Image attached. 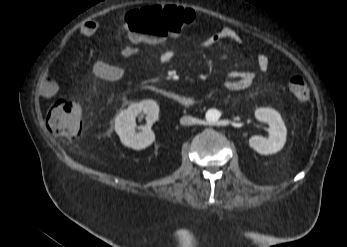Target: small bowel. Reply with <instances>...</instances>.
I'll list each match as a JSON object with an SVG mask.
<instances>
[{"mask_svg":"<svg viewBox=\"0 0 347 247\" xmlns=\"http://www.w3.org/2000/svg\"><path fill=\"white\" fill-rule=\"evenodd\" d=\"M99 28V23L95 19L85 21L77 30L84 37L92 36ZM177 37L178 34L173 35ZM222 41H230L235 45L243 44V38L240 33L230 27H223L217 32L208 36L203 40L205 47L214 46ZM140 43L139 40H132L131 44L124 45L120 52L122 56L130 58L139 53L136 47ZM174 58V53L171 50H165L160 53L159 60L162 63H170ZM256 64L260 71L266 72L269 69L270 61L265 54H259L256 57ZM92 71L96 77L104 81H118L126 77L127 68L107 63L101 58L94 59L92 63ZM256 80V75L253 71H232L227 74L224 84L230 91H241L251 87ZM39 89L43 96H53L58 91L57 83L52 79L50 74L45 71L39 80Z\"/></svg>","mask_w":347,"mask_h":247,"instance_id":"obj_1","label":"small bowel"}]
</instances>
